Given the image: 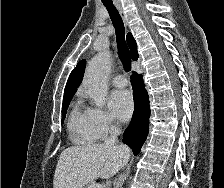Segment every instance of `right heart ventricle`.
<instances>
[{
	"mask_svg": "<svg viewBox=\"0 0 224 188\" xmlns=\"http://www.w3.org/2000/svg\"><path fill=\"white\" fill-rule=\"evenodd\" d=\"M68 127L70 137L76 144H92L97 140V137L88 125L85 111L81 109L78 103L70 114Z\"/></svg>",
	"mask_w": 224,
	"mask_h": 188,
	"instance_id": "e07e8e85",
	"label": "right heart ventricle"
}]
</instances>
